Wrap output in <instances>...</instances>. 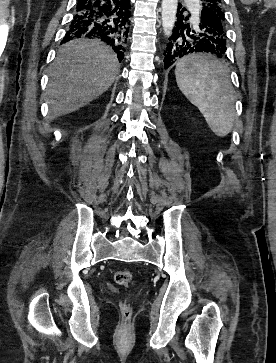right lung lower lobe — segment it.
Wrapping results in <instances>:
<instances>
[{
    "mask_svg": "<svg viewBox=\"0 0 276 363\" xmlns=\"http://www.w3.org/2000/svg\"><path fill=\"white\" fill-rule=\"evenodd\" d=\"M130 0H77L64 42L75 38L99 39L124 57L130 33Z\"/></svg>",
    "mask_w": 276,
    "mask_h": 363,
    "instance_id": "98d812e1",
    "label": "right lung lower lobe"
}]
</instances>
